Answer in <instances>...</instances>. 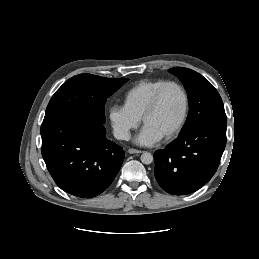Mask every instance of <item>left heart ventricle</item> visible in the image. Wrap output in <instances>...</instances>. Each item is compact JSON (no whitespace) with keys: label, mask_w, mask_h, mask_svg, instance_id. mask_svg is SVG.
<instances>
[{"label":"left heart ventricle","mask_w":259,"mask_h":259,"mask_svg":"<svg viewBox=\"0 0 259 259\" xmlns=\"http://www.w3.org/2000/svg\"><path fill=\"white\" fill-rule=\"evenodd\" d=\"M184 108L181 91L171 86L162 95L159 107L146 120L145 126L161 138L178 124Z\"/></svg>","instance_id":"1"}]
</instances>
